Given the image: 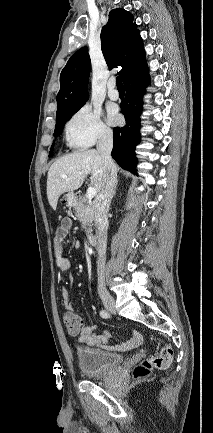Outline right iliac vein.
Listing matches in <instances>:
<instances>
[{
	"instance_id": "obj_1",
	"label": "right iliac vein",
	"mask_w": 213,
	"mask_h": 433,
	"mask_svg": "<svg viewBox=\"0 0 213 433\" xmlns=\"http://www.w3.org/2000/svg\"><path fill=\"white\" fill-rule=\"evenodd\" d=\"M101 300L105 308L110 312H115V299L108 293L101 295Z\"/></svg>"
}]
</instances>
